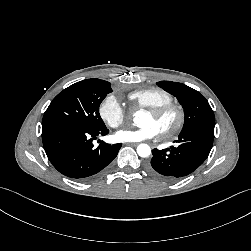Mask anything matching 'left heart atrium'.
I'll list each match as a JSON object with an SVG mask.
<instances>
[{"instance_id":"39dd6f15","label":"left heart atrium","mask_w":251,"mask_h":251,"mask_svg":"<svg viewBox=\"0 0 251 251\" xmlns=\"http://www.w3.org/2000/svg\"><path fill=\"white\" fill-rule=\"evenodd\" d=\"M159 134L157 128L151 124L143 125L139 128L123 129L115 134V139L119 142H139L156 137Z\"/></svg>"}]
</instances>
